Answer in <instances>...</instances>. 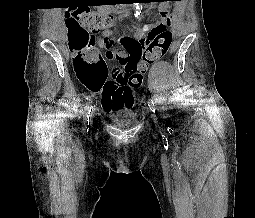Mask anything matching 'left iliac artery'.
<instances>
[{
  "mask_svg": "<svg viewBox=\"0 0 255 218\" xmlns=\"http://www.w3.org/2000/svg\"><path fill=\"white\" fill-rule=\"evenodd\" d=\"M148 105H149L150 109H151L153 112H155L156 107H155V105H154L153 100H150V101L148 102Z\"/></svg>",
  "mask_w": 255,
  "mask_h": 218,
  "instance_id": "left-iliac-artery-1",
  "label": "left iliac artery"
}]
</instances>
